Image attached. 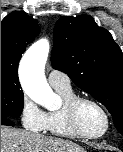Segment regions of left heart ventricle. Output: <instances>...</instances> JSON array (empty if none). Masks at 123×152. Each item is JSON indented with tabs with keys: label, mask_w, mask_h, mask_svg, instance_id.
<instances>
[{
	"label": "left heart ventricle",
	"mask_w": 123,
	"mask_h": 152,
	"mask_svg": "<svg viewBox=\"0 0 123 152\" xmlns=\"http://www.w3.org/2000/svg\"><path fill=\"white\" fill-rule=\"evenodd\" d=\"M78 123L85 133L98 134L105 127V118L96 106L83 103L78 110Z\"/></svg>",
	"instance_id": "b2bd125f"
}]
</instances>
